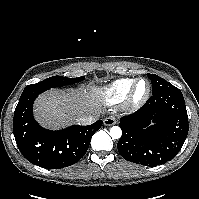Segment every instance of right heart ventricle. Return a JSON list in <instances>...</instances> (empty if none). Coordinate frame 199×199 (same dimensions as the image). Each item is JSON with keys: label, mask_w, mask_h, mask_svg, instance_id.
Wrapping results in <instances>:
<instances>
[{"label": "right heart ventricle", "mask_w": 199, "mask_h": 199, "mask_svg": "<svg viewBox=\"0 0 199 199\" xmlns=\"http://www.w3.org/2000/svg\"><path fill=\"white\" fill-rule=\"evenodd\" d=\"M134 79L122 78L98 90V96L103 104L111 106L122 102L133 84Z\"/></svg>", "instance_id": "obj_1"}]
</instances>
